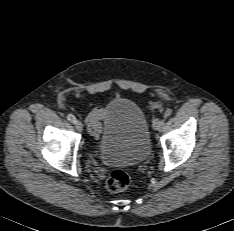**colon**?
<instances>
[{
    "label": "colon",
    "mask_w": 234,
    "mask_h": 231,
    "mask_svg": "<svg viewBox=\"0 0 234 231\" xmlns=\"http://www.w3.org/2000/svg\"><path fill=\"white\" fill-rule=\"evenodd\" d=\"M131 182L130 175L120 169L112 170L106 180V186L111 192H121L125 190Z\"/></svg>",
    "instance_id": "colon-1"
}]
</instances>
